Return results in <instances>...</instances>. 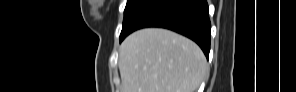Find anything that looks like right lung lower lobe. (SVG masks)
Segmentation results:
<instances>
[{
	"label": "right lung lower lobe",
	"instance_id": "obj_1",
	"mask_svg": "<svg viewBox=\"0 0 296 92\" xmlns=\"http://www.w3.org/2000/svg\"><path fill=\"white\" fill-rule=\"evenodd\" d=\"M145 27H162L195 41L206 57L211 24L206 0H154L133 23L129 34Z\"/></svg>",
	"mask_w": 296,
	"mask_h": 92
}]
</instances>
